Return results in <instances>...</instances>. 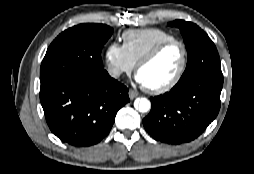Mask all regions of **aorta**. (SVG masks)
Here are the masks:
<instances>
[{
	"mask_svg": "<svg viewBox=\"0 0 254 174\" xmlns=\"http://www.w3.org/2000/svg\"><path fill=\"white\" fill-rule=\"evenodd\" d=\"M135 108L142 113L148 112L151 108V103L147 98H138L134 102Z\"/></svg>",
	"mask_w": 254,
	"mask_h": 174,
	"instance_id": "1",
	"label": "aorta"
}]
</instances>
